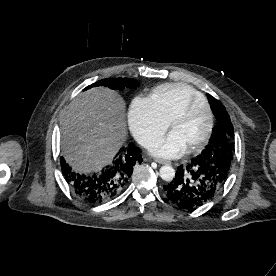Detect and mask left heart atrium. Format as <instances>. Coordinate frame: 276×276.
<instances>
[{
	"label": "left heart atrium",
	"mask_w": 276,
	"mask_h": 276,
	"mask_svg": "<svg viewBox=\"0 0 276 276\" xmlns=\"http://www.w3.org/2000/svg\"><path fill=\"white\" fill-rule=\"evenodd\" d=\"M186 150L187 146L175 131H171L150 148L152 154L162 158H177L183 155Z\"/></svg>",
	"instance_id": "left-heart-atrium-1"
}]
</instances>
